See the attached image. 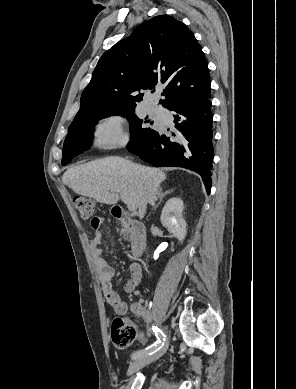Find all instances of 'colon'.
<instances>
[{
    "label": "colon",
    "mask_w": 296,
    "mask_h": 389,
    "mask_svg": "<svg viewBox=\"0 0 296 389\" xmlns=\"http://www.w3.org/2000/svg\"><path fill=\"white\" fill-rule=\"evenodd\" d=\"M74 205L80 216L95 224L97 217L95 215L96 205L91 199L77 196L74 198ZM136 337V329L133 323L123 318H115L111 324V338L114 344L119 348H126Z\"/></svg>",
    "instance_id": "colon-1"
}]
</instances>
